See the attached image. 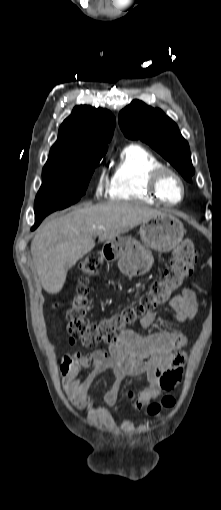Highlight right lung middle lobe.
Here are the masks:
<instances>
[{
	"instance_id": "obj_1",
	"label": "right lung middle lobe",
	"mask_w": 221,
	"mask_h": 510,
	"mask_svg": "<svg viewBox=\"0 0 221 510\" xmlns=\"http://www.w3.org/2000/svg\"><path fill=\"white\" fill-rule=\"evenodd\" d=\"M106 151L47 161L42 171V186L35 199V216L48 215L79 201Z\"/></svg>"
}]
</instances>
